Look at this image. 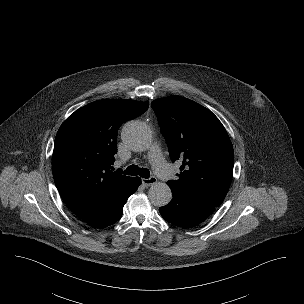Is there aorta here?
I'll use <instances>...</instances> for the list:
<instances>
[{"mask_svg": "<svg viewBox=\"0 0 304 304\" xmlns=\"http://www.w3.org/2000/svg\"><path fill=\"white\" fill-rule=\"evenodd\" d=\"M152 138V133L149 127L142 122L132 121L127 123L122 129V139L124 143L132 150H145ZM148 198L155 206H165L172 199V191L166 183H155L151 185Z\"/></svg>", "mask_w": 304, "mask_h": 304, "instance_id": "762f6f07", "label": "aorta"}]
</instances>
